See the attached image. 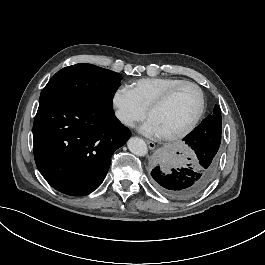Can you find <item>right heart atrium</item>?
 <instances>
[{
  "instance_id": "d8ad5b80",
  "label": "right heart atrium",
  "mask_w": 265,
  "mask_h": 265,
  "mask_svg": "<svg viewBox=\"0 0 265 265\" xmlns=\"http://www.w3.org/2000/svg\"><path fill=\"white\" fill-rule=\"evenodd\" d=\"M110 99L117 122L131 130L138 128L140 121L145 116V111L140 107L138 101L130 95L128 86L124 84L117 86L116 89L112 90Z\"/></svg>"
}]
</instances>
